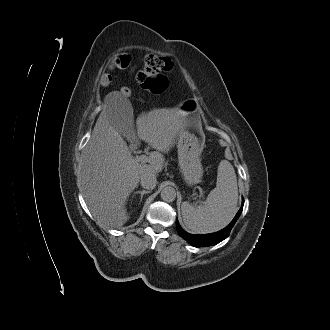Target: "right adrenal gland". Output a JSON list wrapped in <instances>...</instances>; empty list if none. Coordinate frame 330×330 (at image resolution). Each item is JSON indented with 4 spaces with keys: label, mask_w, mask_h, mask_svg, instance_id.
Wrapping results in <instances>:
<instances>
[{
    "label": "right adrenal gland",
    "mask_w": 330,
    "mask_h": 330,
    "mask_svg": "<svg viewBox=\"0 0 330 330\" xmlns=\"http://www.w3.org/2000/svg\"><path fill=\"white\" fill-rule=\"evenodd\" d=\"M150 192H151L150 190H148V191H146V190H142V191L138 190V191H136L134 193L135 194H137V193L141 194V200H140V202H141L142 201V198H143V195L144 194H147V193H150Z\"/></svg>",
    "instance_id": "2a0ac1e0"
}]
</instances>
